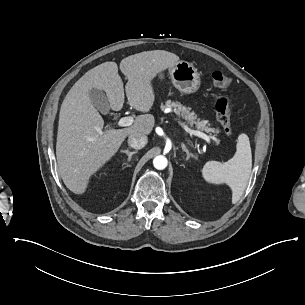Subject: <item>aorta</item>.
Listing matches in <instances>:
<instances>
[{
  "instance_id": "1",
  "label": "aorta",
  "mask_w": 305,
  "mask_h": 305,
  "mask_svg": "<svg viewBox=\"0 0 305 305\" xmlns=\"http://www.w3.org/2000/svg\"><path fill=\"white\" fill-rule=\"evenodd\" d=\"M153 165L158 170H163L168 165V160L163 155H158L153 159Z\"/></svg>"
}]
</instances>
